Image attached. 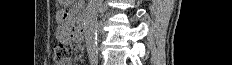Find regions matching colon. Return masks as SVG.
I'll use <instances>...</instances> for the list:
<instances>
[{"instance_id":"colon-1","label":"colon","mask_w":232,"mask_h":65,"mask_svg":"<svg viewBox=\"0 0 232 65\" xmlns=\"http://www.w3.org/2000/svg\"><path fill=\"white\" fill-rule=\"evenodd\" d=\"M69 57V50L65 45L58 44L54 48V59L58 65L63 64Z\"/></svg>"}]
</instances>
